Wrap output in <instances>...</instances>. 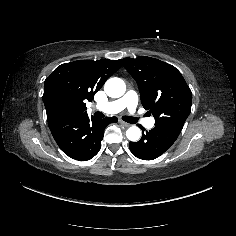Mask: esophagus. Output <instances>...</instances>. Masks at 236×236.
I'll return each mask as SVG.
<instances>
[{
	"mask_svg": "<svg viewBox=\"0 0 236 236\" xmlns=\"http://www.w3.org/2000/svg\"><path fill=\"white\" fill-rule=\"evenodd\" d=\"M119 123L122 124V125L125 126V127H129V126H130L129 123H126V122L123 121V120H119Z\"/></svg>",
	"mask_w": 236,
	"mask_h": 236,
	"instance_id": "obj_1",
	"label": "esophagus"
}]
</instances>
